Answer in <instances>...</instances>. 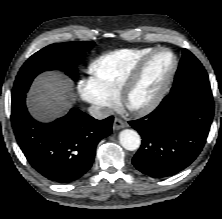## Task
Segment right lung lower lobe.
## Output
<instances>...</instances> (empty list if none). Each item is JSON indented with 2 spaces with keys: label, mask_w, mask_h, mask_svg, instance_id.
<instances>
[{
  "label": "right lung lower lobe",
  "mask_w": 222,
  "mask_h": 219,
  "mask_svg": "<svg viewBox=\"0 0 222 219\" xmlns=\"http://www.w3.org/2000/svg\"><path fill=\"white\" fill-rule=\"evenodd\" d=\"M11 122L31 166L53 182L70 183L92 166L98 142L112 132L113 116L97 120L72 108L54 122L40 123L29 115L24 95L12 99Z\"/></svg>",
  "instance_id": "right-lung-lower-lobe-1"
}]
</instances>
